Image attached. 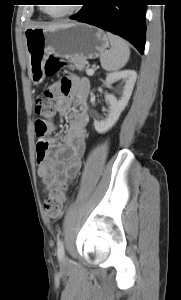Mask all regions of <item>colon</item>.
Here are the masks:
<instances>
[{
  "mask_svg": "<svg viewBox=\"0 0 181 300\" xmlns=\"http://www.w3.org/2000/svg\"><path fill=\"white\" fill-rule=\"evenodd\" d=\"M66 67H68V64L65 60L59 57L50 56L45 64V75L47 77H54ZM35 113L43 117V119L36 121L35 133L38 142H44L48 136L47 121L53 119L56 113L50 95H46L36 101ZM68 193L69 187L64 185L59 189L51 191L49 196L45 198L44 210L49 218L57 219L62 215V208L67 200Z\"/></svg>",
  "mask_w": 181,
  "mask_h": 300,
  "instance_id": "colon-1",
  "label": "colon"
}]
</instances>
